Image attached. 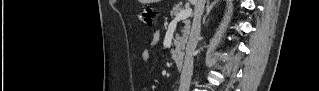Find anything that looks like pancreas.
Here are the masks:
<instances>
[{"mask_svg": "<svg viewBox=\"0 0 319 91\" xmlns=\"http://www.w3.org/2000/svg\"><path fill=\"white\" fill-rule=\"evenodd\" d=\"M182 10V7L180 5H175L172 10L170 11V15L172 17H176V15ZM185 27L182 29V35L176 36L174 39V45L175 49L172 50V57L175 58L176 56H181L183 54L185 44L188 39V35L190 32V21L185 20L184 21Z\"/></svg>", "mask_w": 319, "mask_h": 91, "instance_id": "pancreas-1", "label": "pancreas"}]
</instances>
